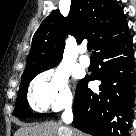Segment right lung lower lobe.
<instances>
[{
  "label": "right lung lower lobe",
  "mask_w": 136,
  "mask_h": 136,
  "mask_svg": "<svg viewBox=\"0 0 136 136\" xmlns=\"http://www.w3.org/2000/svg\"><path fill=\"white\" fill-rule=\"evenodd\" d=\"M133 53L130 34L96 51L100 68L82 79L76 89V128L94 136H129L135 79ZM89 80L102 81L99 92L87 88Z\"/></svg>",
  "instance_id": "right-lung-lower-lobe-1"
}]
</instances>
